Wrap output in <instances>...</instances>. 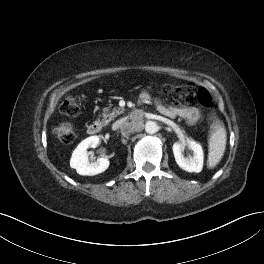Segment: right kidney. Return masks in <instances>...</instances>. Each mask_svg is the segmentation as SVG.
<instances>
[{
    "label": "right kidney",
    "mask_w": 264,
    "mask_h": 264,
    "mask_svg": "<svg viewBox=\"0 0 264 264\" xmlns=\"http://www.w3.org/2000/svg\"><path fill=\"white\" fill-rule=\"evenodd\" d=\"M99 144L98 136H90L84 139L73 151L70 166L76 169L79 175L93 176L104 172L109 167L107 158H99L96 162L90 163L88 160L87 149L95 148Z\"/></svg>",
    "instance_id": "1"
}]
</instances>
